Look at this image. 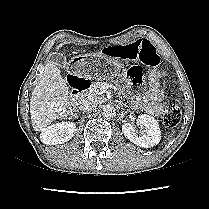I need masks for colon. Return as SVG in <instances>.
I'll use <instances>...</instances> for the list:
<instances>
[{
    "mask_svg": "<svg viewBox=\"0 0 209 209\" xmlns=\"http://www.w3.org/2000/svg\"><path fill=\"white\" fill-rule=\"evenodd\" d=\"M102 53L104 55L116 56L122 59L139 60L143 64L154 69H156L160 64L159 54L155 46L148 40H137L126 46H118L115 48L104 46L102 48ZM160 75L161 73L156 70L154 76ZM180 119L181 109L179 105L175 102L167 103L163 112L164 124L168 127H174L179 123Z\"/></svg>",
    "mask_w": 209,
    "mask_h": 209,
    "instance_id": "5ec220e1",
    "label": "colon"
}]
</instances>
